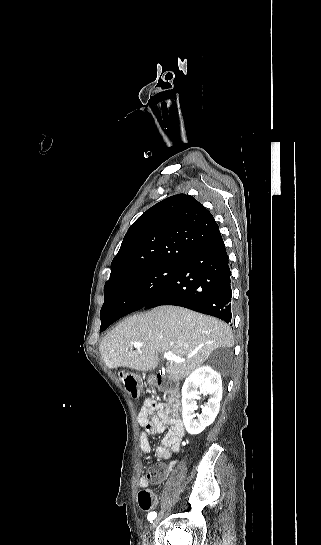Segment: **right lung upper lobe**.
I'll return each instance as SVG.
<instances>
[{
	"label": "right lung upper lobe",
	"mask_w": 321,
	"mask_h": 545,
	"mask_svg": "<svg viewBox=\"0 0 321 545\" xmlns=\"http://www.w3.org/2000/svg\"><path fill=\"white\" fill-rule=\"evenodd\" d=\"M218 231L212 214L194 197H168L130 226L105 287L124 274L161 264L182 265Z\"/></svg>",
	"instance_id": "cb5924a9"
}]
</instances>
